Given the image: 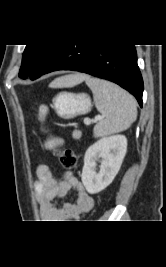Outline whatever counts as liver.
<instances>
[{"label": "liver", "mask_w": 166, "mask_h": 267, "mask_svg": "<svg viewBox=\"0 0 166 267\" xmlns=\"http://www.w3.org/2000/svg\"><path fill=\"white\" fill-rule=\"evenodd\" d=\"M87 76L84 74L76 73L72 75H67L61 78L54 80L49 87L57 88V87H73L82 83L86 80Z\"/></svg>", "instance_id": "1"}]
</instances>
